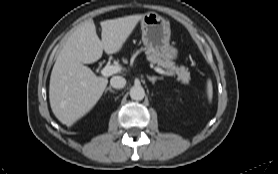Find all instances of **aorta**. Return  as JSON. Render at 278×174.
Listing matches in <instances>:
<instances>
[{"mask_svg": "<svg viewBox=\"0 0 278 174\" xmlns=\"http://www.w3.org/2000/svg\"><path fill=\"white\" fill-rule=\"evenodd\" d=\"M145 96L144 88L141 85H134L130 89V97L133 100H142Z\"/></svg>", "mask_w": 278, "mask_h": 174, "instance_id": "1", "label": "aorta"}]
</instances>
